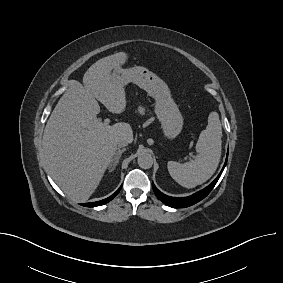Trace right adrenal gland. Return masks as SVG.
Listing matches in <instances>:
<instances>
[{
    "label": "right adrenal gland",
    "instance_id": "1",
    "mask_svg": "<svg viewBox=\"0 0 283 283\" xmlns=\"http://www.w3.org/2000/svg\"><path fill=\"white\" fill-rule=\"evenodd\" d=\"M126 151V148H123V149H119L117 152H116V154H115V156L111 159V162H110V164H109V166H110V171H113L114 169H115V167L117 166V164L119 163V160H120V157H121V155H122V153L123 152H125Z\"/></svg>",
    "mask_w": 283,
    "mask_h": 283
}]
</instances>
